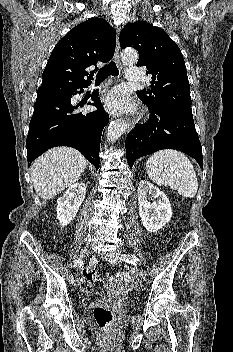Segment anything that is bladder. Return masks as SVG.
<instances>
[{"label": "bladder", "mask_w": 233, "mask_h": 352, "mask_svg": "<svg viewBox=\"0 0 233 352\" xmlns=\"http://www.w3.org/2000/svg\"><path fill=\"white\" fill-rule=\"evenodd\" d=\"M95 297L96 298H104V299H108V300H119L116 296H113V295L106 293V292H103V291L97 292L95 294ZM122 301L127 302V300H125V299H123Z\"/></svg>", "instance_id": "1"}]
</instances>
